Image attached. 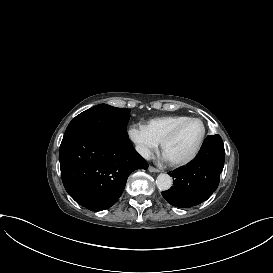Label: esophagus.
Wrapping results in <instances>:
<instances>
[{"instance_id":"1","label":"esophagus","mask_w":273,"mask_h":273,"mask_svg":"<svg viewBox=\"0 0 273 273\" xmlns=\"http://www.w3.org/2000/svg\"><path fill=\"white\" fill-rule=\"evenodd\" d=\"M148 169H149L150 172H155V173H159V172H160L159 169H157V168H155V167H153V166H149Z\"/></svg>"}]
</instances>
